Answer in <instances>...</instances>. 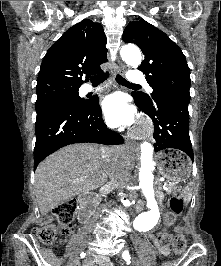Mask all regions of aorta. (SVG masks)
<instances>
[{"label": "aorta", "mask_w": 221, "mask_h": 266, "mask_svg": "<svg viewBox=\"0 0 221 266\" xmlns=\"http://www.w3.org/2000/svg\"><path fill=\"white\" fill-rule=\"evenodd\" d=\"M121 57L126 62V64L137 68L141 61L142 56L140 50L136 46L126 45L121 48ZM141 150V168L139 170V187L147 200V207L150 211L143 212L138 215L134 221V229L137 231L149 230L152 228L158 218L159 210L158 205L155 200V192L153 188V146L148 142H143L140 144Z\"/></svg>", "instance_id": "obj_1"}]
</instances>
